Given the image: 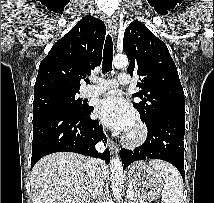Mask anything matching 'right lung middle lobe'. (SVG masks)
I'll return each mask as SVG.
<instances>
[{
	"mask_svg": "<svg viewBox=\"0 0 214 203\" xmlns=\"http://www.w3.org/2000/svg\"><path fill=\"white\" fill-rule=\"evenodd\" d=\"M78 93H52L34 98L33 118L52 111L85 112L88 105L77 98Z\"/></svg>",
	"mask_w": 214,
	"mask_h": 203,
	"instance_id": "1",
	"label": "right lung middle lobe"
}]
</instances>
